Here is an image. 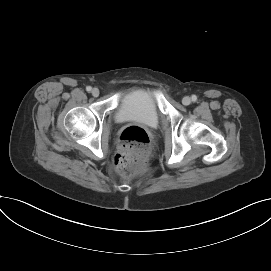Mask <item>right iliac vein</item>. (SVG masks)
I'll use <instances>...</instances> for the list:
<instances>
[{
  "label": "right iliac vein",
  "mask_w": 271,
  "mask_h": 271,
  "mask_svg": "<svg viewBox=\"0 0 271 271\" xmlns=\"http://www.w3.org/2000/svg\"><path fill=\"white\" fill-rule=\"evenodd\" d=\"M91 93L94 97H98L100 92L98 88H93Z\"/></svg>",
  "instance_id": "63e3f726"
}]
</instances>
